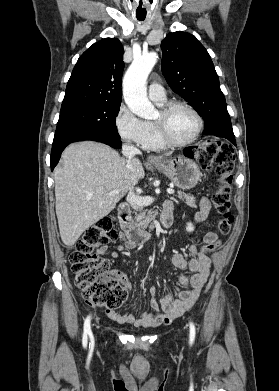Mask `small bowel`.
Returning a JSON list of instances; mask_svg holds the SVG:
<instances>
[{"label":"small bowel","instance_id":"obj_1","mask_svg":"<svg viewBox=\"0 0 279 391\" xmlns=\"http://www.w3.org/2000/svg\"><path fill=\"white\" fill-rule=\"evenodd\" d=\"M172 205L171 203H166ZM211 209V204L208 198L203 197L200 201V209L195 214L194 221H204ZM121 244L114 248L110 246H102L98 252L100 254H107L113 258H119L125 253L126 249H131L134 246L130 245L124 234L120 235ZM217 240V235L214 232H208L203 240L204 245L200 248L192 245L190 252L193 257L187 261L186 258L176 253L172 262L173 265L179 269L188 268L192 273L189 278L186 275H180L179 285L174 290H169L160 299H157V290L154 286L150 288V304L157 311L154 313H144L137 317L134 313H119L114 310H106V315L109 319L119 324H131L140 328H151L161 324H170L174 319L182 315L190 309L199 299L204 285L210 273V259L206 255L207 244ZM115 275L119 278L125 290L131 289V284L127 277L117 272Z\"/></svg>","mask_w":279,"mask_h":391}]
</instances>
